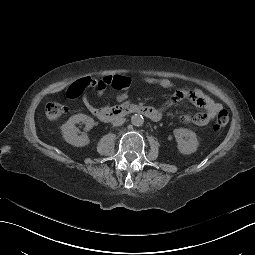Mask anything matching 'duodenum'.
Wrapping results in <instances>:
<instances>
[{
	"label": "duodenum",
	"instance_id": "obj_1",
	"mask_svg": "<svg viewBox=\"0 0 255 255\" xmlns=\"http://www.w3.org/2000/svg\"><path fill=\"white\" fill-rule=\"evenodd\" d=\"M91 112L104 122H111L135 113L141 114L152 121H159L161 119V114L155 108L139 104L94 108Z\"/></svg>",
	"mask_w": 255,
	"mask_h": 255
}]
</instances>
